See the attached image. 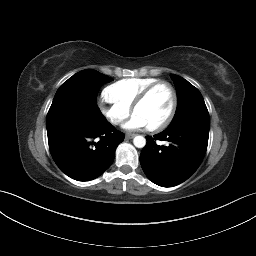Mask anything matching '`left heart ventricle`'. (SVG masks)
<instances>
[{
    "label": "left heart ventricle",
    "mask_w": 256,
    "mask_h": 256,
    "mask_svg": "<svg viewBox=\"0 0 256 256\" xmlns=\"http://www.w3.org/2000/svg\"><path fill=\"white\" fill-rule=\"evenodd\" d=\"M172 104V94L168 87H157L146 99L136 108L134 113L141 116L147 126H153L162 121L168 114Z\"/></svg>",
    "instance_id": "left-heart-ventricle-1"
}]
</instances>
